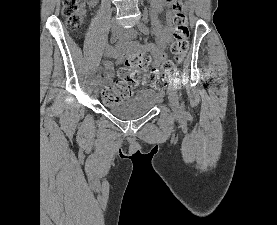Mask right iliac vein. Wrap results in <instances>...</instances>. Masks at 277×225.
Here are the masks:
<instances>
[{"label":"right iliac vein","mask_w":277,"mask_h":225,"mask_svg":"<svg viewBox=\"0 0 277 225\" xmlns=\"http://www.w3.org/2000/svg\"><path fill=\"white\" fill-rule=\"evenodd\" d=\"M112 35L114 38H121L124 37V32L121 28L115 27L112 29ZM99 90L98 85H94V92L97 93Z\"/></svg>","instance_id":"1"}]
</instances>
